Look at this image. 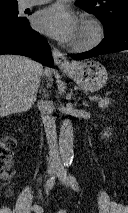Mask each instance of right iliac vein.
<instances>
[{
    "mask_svg": "<svg viewBox=\"0 0 128 213\" xmlns=\"http://www.w3.org/2000/svg\"><path fill=\"white\" fill-rule=\"evenodd\" d=\"M58 168L57 167H49V169L47 170V174L48 176H52L53 174L57 173Z\"/></svg>",
    "mask_w": 128,
    "mask_h": 213,
    "instance_id": "right-iliac-vein-1",
    "label": "right iliac vein"
}]
</instances>
